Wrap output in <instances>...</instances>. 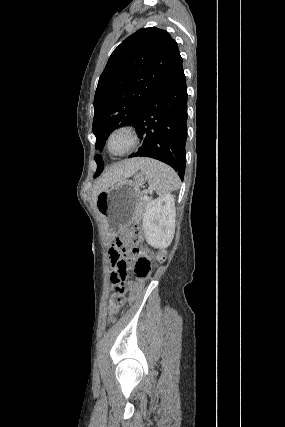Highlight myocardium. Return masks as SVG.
<instances>
[{"mask_svg": "<svg viewBox=\"0 0 285 427\" xmlns=\"http://www.w3.org/2000/svg\"><path fill=\"white\" fill-rule=\"evenodd\" d=\"M120 133L127 134L129 139H130V143H129V146L124 151L114 152L111 150L110 143H111L112 138L116 134H120ZM138 143H139V135H138L137 129L131 124H121V125L114 127L109 132L107 139H106V148L111 155L123 156V155L129 154L130 152H132V150L137 146Z\"/></svg>", "mask_w": 285, "mask_h": 427, "instance_id": "1", "label": "myocardium"}]
</instances>
